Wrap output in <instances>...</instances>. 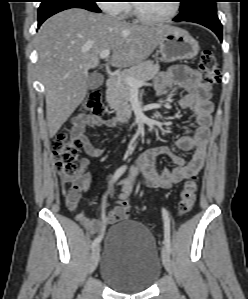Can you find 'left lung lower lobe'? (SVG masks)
<instances>
[{"instance_id":"obj_1","label":"left lung lower lobe","mask_w":248,"mask_h":299,"mask_svg":"<svg viewBox=\"0 0 248 299\" xmlns=\"http://www.w3.org/2000/svg\"><path fill=\"white\" fill-rule=\"evenodd\" d=\"M174 21H188L201 24L211 29L222 42V25L218 19L216 11L199 13L189 18H184L179 14L176 18H174Z\"/></svg>"}]
</instances>
